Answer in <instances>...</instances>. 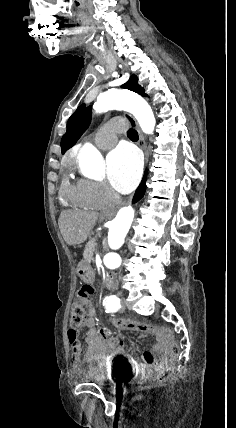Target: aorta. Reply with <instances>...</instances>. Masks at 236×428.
Segmentation results:
<instances>
[{
  "label": "aorta",
  "mask_w": 236,
  "mask_h": 428,
  "mask_svg": "<svg viewBox=\"0 0 236 428\" xmlns=\"http://www.w3.org/2000/svg\"><path fill=\"white\" fill-rule=\"evenodd\" d=\"M95 113L101 114L113 109L130 112L138 121L142 131L152 134L156 120L150 105L139 95L128 90H110L100 94L93 105ZM81 168L91 176L100 177L103 172V159L100 152L91 144L83 146L79 155ZM134 219L131 206L121 208L109 224L108 245L111 249L103 258L104 265L116 269L122 263L117 250L124 244L125 237Z\"/></svg>",
  "instance_id": "762f6f07"
}]
</instances>
